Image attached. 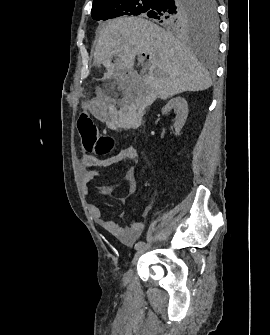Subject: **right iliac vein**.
Instances as JSON below:
<instances>
[{
  "label": "right iliac vein",
  "mask_w": 270,
  "mask_h": 335,
  "mask_svg": "<svg viewBox=\"0 0 270 335\" xmlns=\"http://www.w3.org/2000/svg\"><path fill=\"white\" fill-rule=\"evenodd\" d=\"M151 244L148 243V244H145L144 246H142L141 248L137 249L134 257H133V260H132V264H131V267L129 268V270L124 274V277H123V282L124 284H127L131 275H132V266L136 263V261L138 260V258L143 254L145 253L147 250H149Z\"/></svg>",
  "instance_id": "right-iliac-vein-1"
}]
</instances>
